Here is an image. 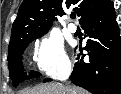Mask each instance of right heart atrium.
Segmentation results:
<instances>
[{"label": "right heart atrium", "instance_id": "obj_1", "mask_svg": "<svg viewBox=\"0 0 121 94\" xmlns=\"http://www.w3.org/2000/svg\"><path fill=\"white\" fill-rule=\"evenodd\" d=\"M35 66L52 77H65L71 71V63L65 53L61 38L50 33L43 37L33 51Z\"/></svg>", "mask_w": 121, "mask_h": 94}]
</instances>
